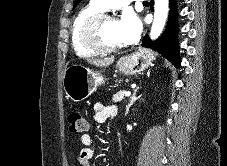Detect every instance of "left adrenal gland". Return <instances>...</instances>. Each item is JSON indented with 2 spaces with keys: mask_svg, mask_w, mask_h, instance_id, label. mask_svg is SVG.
I'll return each instance as SVG.
<instances>
[{
  "mask_svg": "<svg viewBox=\"0 0 227 166\" xmlns=\"http://www.w3.org/2000/svg\"><path fill=\"white\" fill-rule=\"evenodd\" d=\"M139 90V87H136V89L134 90L133 94L130 97V101L128 103V105L126 106V113L128 114V111L130 109V107L138 100L141 98L142 95L137 96V92Z\"/></svg>",
  "mask_w": 227,
  "mask_h": 166,
  "instance_id": "left-adrenal-gland-1",
  "label": "left adrenal gland"
}]
</instances>
